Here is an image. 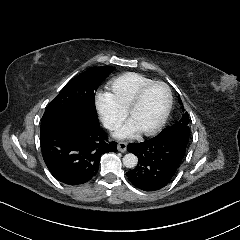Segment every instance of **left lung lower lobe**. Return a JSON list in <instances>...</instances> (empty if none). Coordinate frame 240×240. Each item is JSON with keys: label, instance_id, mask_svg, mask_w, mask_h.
Here are the masks:
<instances>
[{"label": "left lung lower lobe", "instance_id": "0a47b994", "mask_svg": "<svg viewBox=\"0 0 240 240\" xmlns=\"http://www.w3.org/2000/svg\"><path fill=\"white\" fill-rule=\"evenodd\" d=\"M189 138L162 134L141 143H130L127 151L138 157V165L126 175L144 191L165 187L174 177L186 151Z\"/></svg>", "mask_w": 240, "mask_h": 240}]
</instances>
